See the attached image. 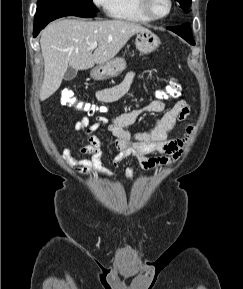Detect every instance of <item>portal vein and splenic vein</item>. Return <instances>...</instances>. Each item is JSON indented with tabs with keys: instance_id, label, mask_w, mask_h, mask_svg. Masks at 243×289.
<instances>
[{
	"instance_id": "portal-vein-and-splenic-vein-1",
	"label": "portal vein and splenic vein",
	"mask_w": 243,
	"mask_h": 289,
	"mask_svg": "<svg viewBox=\"0 0 243 289\" xmlns=\"http://www.w3.org/2000/svg\"><path fill=\"white\" fill-rule=\"evenodd\" d=\"M97 45H98V43L95 41V42H91L90 44H89V48L90 49H94V48H96L97 47Z\"/></svg>"
}]
</instances>
